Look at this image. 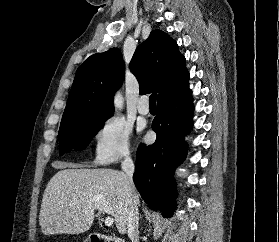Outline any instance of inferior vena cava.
Segmentation results:
<instances>
[{
    "label": "inferior vena cava",
    "instance_id": "inferior-vena-cava-1",
    "mask_svg": "<svg viewBox=\"0 0 279 242\" xmlns=\"http://www.w3.org/2000/svg\"><path fill=\"white\" fill-rule=\"evenodd\" d=\"M121 168L128 177V182L126 186L127 196L129 198V211L127 216V233L128 237L132 242H138L139 232H138V206L136 203V195L134 183L132 180L134 173V163L129 155L126 156L125 160L121 164Z\"/></svg>",
    "mask_w": 279,
    "mask_h": 242
}]
</instances>
